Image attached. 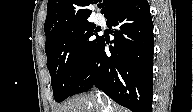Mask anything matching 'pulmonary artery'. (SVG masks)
I'll list each match as a JSON object with an SVG mask.
<instances>
[{"instance_id": "pulmonary-artery-1", "label": "pulmonary artery", "mask_w": 193, "mask_h": 112, "mask_svg": "<svg viewBox=\"0 0 193 112\" xmlns=\"http://www.w3.org/2000/svg\"><path fill=\"white\" fill-rule=\"evenodd\" d=\"M95 20H96V22H97L98 24H100V25L104 24V19H103V17L100 16V15H97V16L95 17Z\"/></svg>"}]
</instances>
